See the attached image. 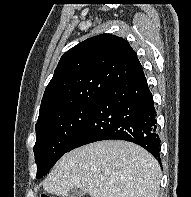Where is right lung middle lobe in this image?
I'll return each instance as SVG.
<instances>
[{
	"mask_svg": "<svg viewBox=\"0 0 191 197\" xmlns=\"http://www.w3.org/2000/svg\"><path fill=\"white\" fill-rule=\"evenodd\" d=\"M97 101L57 111L36 123L34 146L37 178L45 175L61 158L85 124Z\"/></svg>",
	"mask_w": 191,
	"mask_h": 197,
	"instance_id": "obj_1",
	"label": "right lung middle lobe"
}]
</instances>
